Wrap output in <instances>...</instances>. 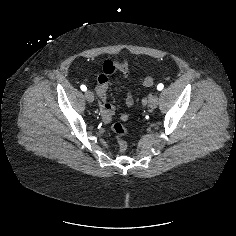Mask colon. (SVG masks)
Masks as SVG:
<instances>
[{"label":"colon","mask_w":236,"mask_h":236,"mask_svg":"<svg viewBox=\"0 0 236 236\" xmlns=\"http://www.w3.org/2000/svg\"><path fill=\"white\" fill-rule=\"evenodd\" d=\"M153 83H154V80L150 77L145 78L143 80L144 86H151V85H153ZM112 131L116 135L119 151L122 153L125 152L127 150V143L124 140V136L128 133L127 128L124 125H122L121 123L116 122L112 125Z\"/></svg>","instance_id":"5ec220e1"}]
</instances>
